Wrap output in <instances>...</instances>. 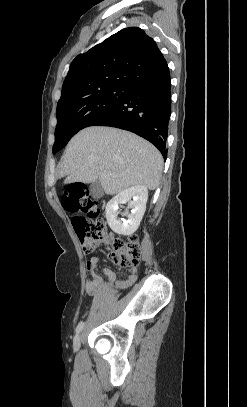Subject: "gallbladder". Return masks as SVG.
<instances>
[{"mask_svg": "<svg viewBox=\"0 0 247 407\" xmlns=\"http://www.w3.org/2000/svg\"><path fill=\"white\" fill-rule=\"evenodd\" d=\"M90 192L93 197L101 198L104 195L103 188L100 184V181L97 179L90 185Z\"/></svg>", "mask_w": 247, "mask_h": 407, "instance_id": "obj_1", "label": "gallbladder"}]
</instances>
